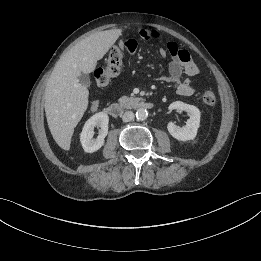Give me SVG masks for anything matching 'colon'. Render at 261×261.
<instances>
[{
    "instance_id": "5ec220e1",
    "label": "colon",
    "mask_w": 261,
    "mask_h": 261,
    "mask_svg": "<svg viewBox=\"0 0 261 261\" xmlns=\"http://www.w3.org/2000/svg\"><path fill=\"white\" fill-rule=\"evenodd\" d=\"M122 52L123 50L121 47H114L107 57L105 66L94 71V79L97 85H107L113 77L120 73L122 68ZM202 100L206 105L214 106L217 97L212 90H206L202 95Z\"/></svg>"
}]
</instances>
